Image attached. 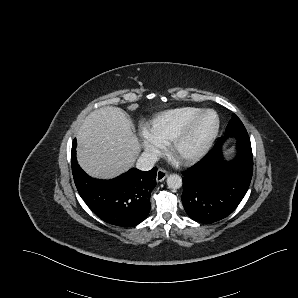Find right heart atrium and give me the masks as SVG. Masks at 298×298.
I'll return each instance as SVG.
<instances>
[{
  "label": "right heart atrium",
  "instance_id": "obj_1",
  "mask_svg": "<svg viewBox=\"0 0 298 298\" xmlns=\"http://www.w3.org/2000/svg\"><path fill=\"white\" fill-rule=\"evenodd\" d=\"M139 136L144 148L153 150L158 156L163 153L164 136L156 128L145 126L140 130Z\"/></svg>",
  "mask_w": 298,
  "mask_h": 298
}]
</instances>
